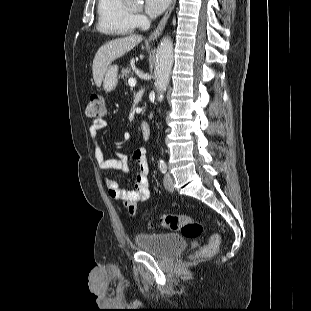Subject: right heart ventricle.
Listing matches in <instances>:
<instances>
[{"instance_id": "obj_1", "label": "right heart ventricle", "mask_w": 311, "mask_h": 311, "mask_svg": "<svg viewBox=\"0 0 311 311\" xmlns=\"http://www.w3.org/2000/svg\"><path fill=\"white\" fill-rule=\"evenodd\" d=\"M97 28L113 35L125 36L135 29V18L124 0H98Z\"/></svg>"}]
</instances>
